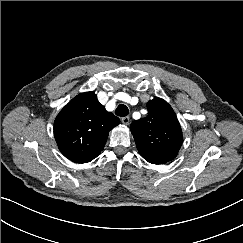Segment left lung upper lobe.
I'll list each match as a JSON object with an SVG mask.
<instances>
[{"instance_id": "1", "label": "left lung upper lobe", "mask_w": 243, "mask_h": 243, "mask_svg": "<svg viewBox=\"0 0 243 243\" xmlns=\"http://www.w3.org/2000/svg\"><path fill=\"white\" fill-rule=\"evenodd\" d=\"M148 115L131 123L140 155L149 163L165 164L173 160L182 145L180 124L171 106L155 97L147 103Z\"/></svg>"}]
</instances>
